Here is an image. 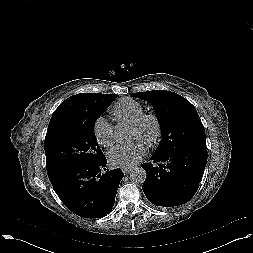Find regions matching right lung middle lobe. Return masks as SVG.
Instances as JSON below:
<instances>
[{
  "label": "right lung middle lobe",
  "mask_w": 253,
  "mask_h": 253,
  "mask_svg": "<svg viewBox=\"0 0 253 253\" xmlns=\"http://www.w3.org/2000/svg\"><path fill=\"white\" fill-rule=\"evenodd\" d=\"M118 97L95 105L78 117H63L49 123L45 137L47 173L83 163H93L104 157L94 133L95 122Z\"/></svg>",
  "instance_id": "dd1d6c3e"
}]
</instances>
